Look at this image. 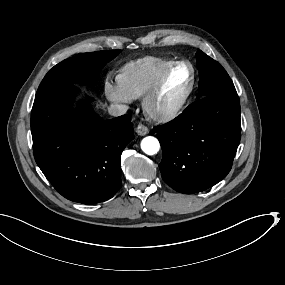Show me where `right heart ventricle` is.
Segmentation results:
<instances>
[{
	"mask_svg": "<svg viewBox=\"0 0 285 285\" xmlns=\"http://www.w3.org/2000/svg\"><path fill=\"white\" fill-rule=\"evenodd\" d=\"M171 63L161 58L147 56L133 62L128 76L123 80L124 90L133 98L141 97L170 68Z\"/></svg>",
	"mask_w": 285,
	"mask_h": 285,
	"instance_id": "1",
	"label": "right heart ventricle"
}]
</instances>
